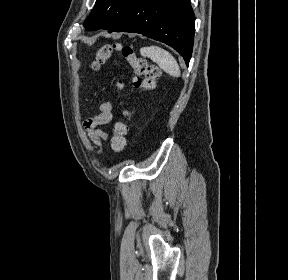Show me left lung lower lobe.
<instances>
[{
  "mask_svg": "<svg viewBox=\"0 0 288 280\" xmlns=\"http://www.w3.org/2000/svg\"><path fill=\"white\" fill-rule=\"evenodd\" d=\"M195 15L190 0H139L114 28L161 41L189 64L194 42Z\"/></svg>",
  "mask_w": 288,
  "mask_h": 280,
  "instance_id": "left-lung-lower-lobe-1",
  "label": "left lung lower lobe"
}]
</instances>
